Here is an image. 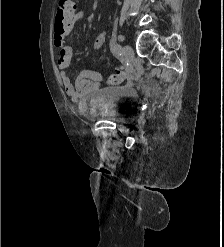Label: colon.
Masks as SVG:
<instances>
[{"mask_svg":"<svg viewBox=\"0 0 224 247\" xmlns=\"http://www.w3.org/2000/svg\"><path fill=\"white\" fill-rule=\"evenodd\" d=\"M76 5L73 0H59L56 16L55 31L60 34H68L74 25ZM127 79V74L123 70H117L109 78L111 84H120Z\"/></svg>","mask_w":224,"mask_h":247,"instance_id":"obj_1","label":"colon"}]
</instances>
